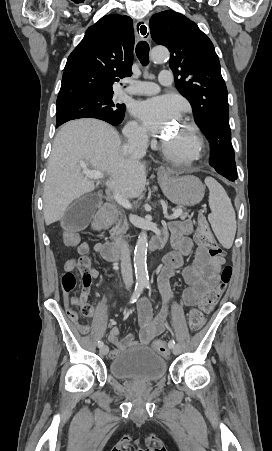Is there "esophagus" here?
Returning <instances> with one entry per match:
<instances>
[{
  "mask_svg": "<svg viewBox=\"0 0 272 451\" xmlns=\"http://www.w3.org/2000/svg\"><path fill=\"white\" fill-rule=\"evenodd\" d=\"M142 25H143V20H138V21H137L138 34H139L140 36H142V37L148 38V37H149L148 31H147L146 28H141ZM160 170H161L162 172H166V168H165V167H160Z\"/></svg>",
  "mask_w": 272,
  "mask_h": 451,
  "instance_id": "34e87169",
  "label": "esophagus"
}]
</instances>
